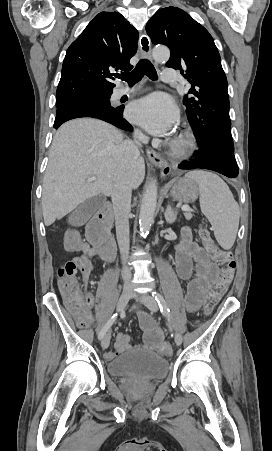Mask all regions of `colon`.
<instances>
[{
	"label": "colon",
	"mask_w": 272,
	"mask_h": 451,
	"mask_svg": "<svg viewBox=\"0 0 272 451\" xmlns=\"http://www.w3.org/2000/svg\"><path fill=\"white\" fill-rule=\"evenodd\" d=\"M200 239H203L204 245L210 251L211 258H216L224 263V267L217 273L215 282L206 297V312H211L212 308L220 301L230 286L236 268L234 254L226 249H218L216 244L210 238L209 230H200ZM80 247V236L77 230H64L62 237L63 249H78ZM77 267L82 271H92L94 264L86 262L84 258L67 260L57 269L59 277V287L61 297H65L66 303H71L72 310H87L88 303H91V294H88L87 288H78V281L75 273ZM86 320L78 322V326L85 327ZM158 354H173L174 348L170 342H161L157 348Z\"/></svg>",
	"instance_id": "obj_1"
}]
</instances>
